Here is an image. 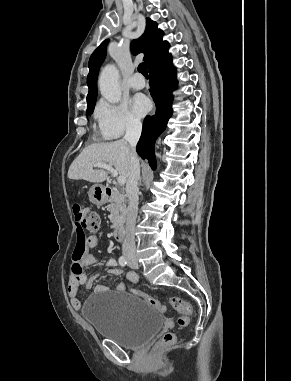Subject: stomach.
<instances>
[{"label":"stomach","mask_w":291,"mask_h":381,"mask_svg":"<svg viewBox=\"0 0 291 381\" xmlns=\"http://www.w3.org/2000/svg\"><path fill=\"white\" fill-rule=\"evenodd\" d=\"M89 199L93 204L103 205L107 199L104 193V189L100 185H93L88 192Z\"/></svg>","instance_id":"1"}]
</instances>
